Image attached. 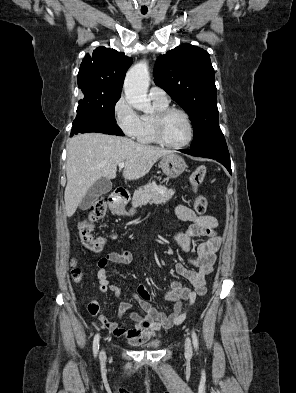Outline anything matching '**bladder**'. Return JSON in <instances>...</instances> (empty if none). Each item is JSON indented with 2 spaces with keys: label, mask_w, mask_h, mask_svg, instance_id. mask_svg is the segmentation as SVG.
<instances>
[{
  "label": "bladder",
  "mask_w": 296,
  "mask_h": 393,
  "mask_svg": "<svg viewBox=\"0 0 296 393\" xmlns=\"http://www.w3.org/2000/svg\"><path fill=\"white\" fill-rule=\"evenodd\" d=\"M161 343H162L161 340H153V341L148 342L144 346L146 348L155 349V348H158L161 345Z\"/></svg>",
  "instance_id": "1"
}]
</instances>
